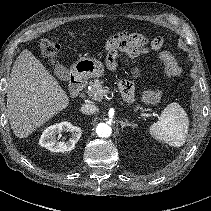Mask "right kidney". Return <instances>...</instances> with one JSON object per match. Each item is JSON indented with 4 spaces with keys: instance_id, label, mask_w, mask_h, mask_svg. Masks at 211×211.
<instances>
[{
    "instance_id": "ca27d5eb",
    "label": "right kidney",
    "mask_w": 211,
    "mask_h": 211,
    "mask_svg": "<svg viewBox=\"0 0 211 211\" xmlns=\"http://www.w3.org/2000/svg\"><path fill=\"white\" fill-rule=\"evenodd\" d=\"M62 131L71 132V138L67 141H59L56 136ZM81 135L82 130L79 127L69 122H61L46 128L40 137L39 144L52 152H67L74 149Z\"/></svg>"
}]
</instances>
